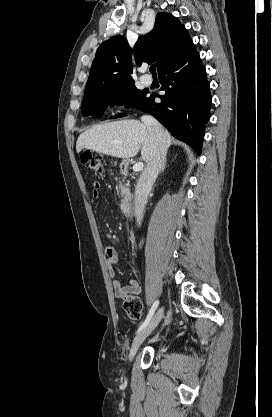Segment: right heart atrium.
I'll list each match as a JSON object with an SVG mask.
<instances>
[{"label": "right heart atrium", "mask_w": 272, "mask_h": 417, "mask_svg": "<svg viewBox=\"0 0 272 417\" xmlns=\"http://www.w3.org/2000/svg\"><path fill=\"white\" fill-rule=\"evenodd\" d=\"M116 107L117 108H123L124 107V102L122 100H119L118 102H116Z\"/></svg>", "instance_id": "right-heart-atrium-1"}]
</instances>
